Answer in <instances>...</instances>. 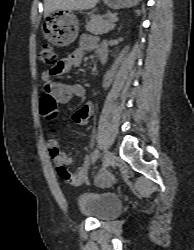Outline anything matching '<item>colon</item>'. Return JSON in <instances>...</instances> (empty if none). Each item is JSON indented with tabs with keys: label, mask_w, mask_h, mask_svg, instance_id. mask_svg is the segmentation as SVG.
I'll return each instance as SVG.
<instances>
[{
	"label": "colon",
	"mask_w": 194,
	"mask_h": 250,
	"mask_svg": "<svg viewBox=\"0 0 194 250\" xmlns=\"http://www.w3.org/2000/svg\"><path fill=\"white\" fill-rule=\"evenodd\" d=\"M40 61L46 65L55 66L57 63V55L54 47L51 44H44L39 51ZM41 112L45 119H53L57 114V102L55 98L48 92L44 93L41 97ZM58 172L64 177L69 174L65 168H59Z\"/></svg>",
	"instance_id": "obj_1"
}]
</instances>
